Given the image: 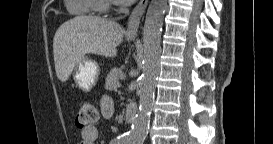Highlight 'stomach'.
I'll use <instances>...</instances> for the list:
<instances>
[{"label": "stomach", "instance_id": "0dacf381", "mask_svg": "<svg viewBox=\"0 0 273 144\" xmlns=\"http://www.w3.org/2000/svg\"><path fill=\"white\" fill-rule=\"evenodd\" d=\"M99 65L93 59L83 56L72 71L76 85L83 91H90L97 83Z\"/></svg>", "mask_w": 273, "mask_h": 144}]
</instances>
